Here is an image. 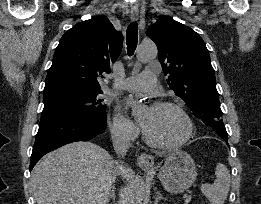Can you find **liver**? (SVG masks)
I'll return each instance as SVG.
<instances>
[{
    "instance_id": "liver-1",
    "label": "liver",
    "mask_w": 261,
    "mask_h": 204,
    "mask_svg": "<svg viewBox=\"0 0 261 204\" xmlns=\"http://www.w3.org/2000/svg\"><path fill=\"white\" fill-rule=\"evenodd\" d=\"M115 163L102 147L73 142L44 156L34 167L31 184L37 204H107ZM128 178L123 166L117 171Z\"/></svg>"
}]
</instances>
